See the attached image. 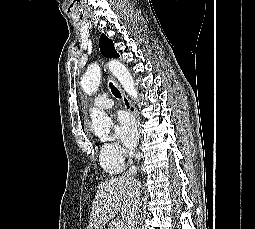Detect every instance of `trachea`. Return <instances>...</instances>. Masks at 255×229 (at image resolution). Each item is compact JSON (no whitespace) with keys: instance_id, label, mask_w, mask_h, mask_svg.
Masks as SVG:
<instances>
[{"instance_id":"1","label":"trachea","mask_w":255,"mask_h":229,"mask_svg":"<svg viewBox=\"0 0 255 229\" xmlns=\"http://www.w3.org/2000/svg\"><path fill=\"white\" fill-rule=\"evenodd\" d=\"M109 87H110V89H111V91H112V94H113L116 98H121V93H120V91H119L112 83L109 84Z\"/></svg>"}]
</instances>
